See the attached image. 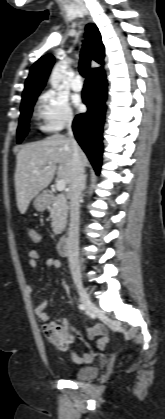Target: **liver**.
Instances as JSON below:
<instances>
[{"mask_svg":"<svg viewBox=\"0 0 165 419\" xmlns=\"http://www.w3.org/2000/svg\"><path fill=\"white\" fill-rule=\"evenodd\" d=\"M80 153L84 166H87L85 153L81 149ZM72 154L71 139L61 134L21 148L16 156L15 170L16 200L21 214L26 212L31 200L51 183L55 174L70 184ZM34 169L37 173H33Z\"/></svg>","mask_w":165,"mask_h":419,"instance_id":"liver-1","label":"liver"}]
</instances>
